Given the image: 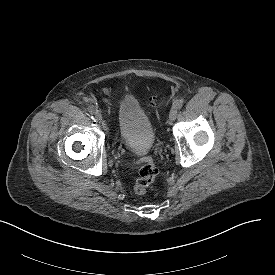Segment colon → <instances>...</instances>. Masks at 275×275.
<instances>
[{"label": "colon", "instance_id": "colon-1", "mask_svg": "<svg viewBox=\"0 0 275 275\" xmlns=\"http://www.w3.org/2000/svg\"><path fill=\"white\" fill-rule=\"evenodd\" d=\"M151 105H156L154 100L151 101ZM138 164H140V168L138 171V178L134 184V192L138 195H143L154 181L157 175V168L153 158L150 156L140 159Z\"/></svg>", "mask_w": 275, "mask_h": 275}]
</instances>
